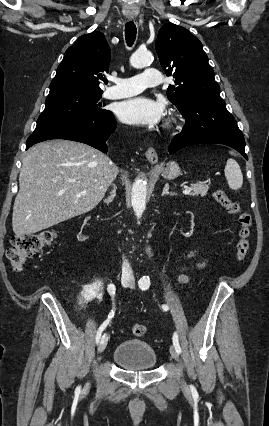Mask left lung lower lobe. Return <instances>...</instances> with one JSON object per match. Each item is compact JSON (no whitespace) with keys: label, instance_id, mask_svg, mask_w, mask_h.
Listing matches in <instances>:
<instances>
[{"label":"left lung lower lobe","instance_id":"obj_1","mask_svg":"<svg viewBox=\"0 0 269 426\" xmlns=\"http://www.w3.org/2000/svg\"><path fill=\"white\" fill-rule=\"evenodd\" d=\"M186 123L169 145L171 154L195 144L216 143L236 149L245 159V140L221 98H201L180 111Z\"/></svg>","mask_w":269,"mask_h":426}]
</instances>
